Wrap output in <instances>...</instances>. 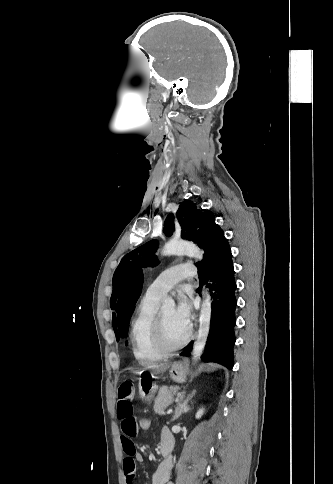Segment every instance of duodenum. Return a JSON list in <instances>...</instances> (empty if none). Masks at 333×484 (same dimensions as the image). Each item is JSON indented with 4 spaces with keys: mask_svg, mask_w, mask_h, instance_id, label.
<instances>
[{
    "mask_svg": "<svg viewBox=\"0 0 333 484\" xmlns=\"http://www.w3.org/2000/svg\"><path fill=\"white\" fill-rule=\"evenodd\" d=\"M172 451H173V444L168 442H162L160 444V453L162 455L163 461L162 463L165 465H169L172 460Z\"/></svg>",
    "mask_w": 333,
    "mask_h": 484,
    "instance_id": "obj_1",
    "label": "duodenum"
}]
</instances>
